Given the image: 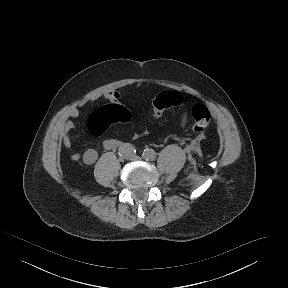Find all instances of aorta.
<instances>
[{"instance_id": "aorta-1", "label": "aorta", "mask_w": 288, "mask_h": 288, "mask_svg": "<svg viewBox=\"0 0 288 288\" xmlns=\"http://www.w3.org/2000/svg\"><path fill=\"white\" fill-rule=\"evenodd\" d=\"M149 154L151 156H149ZM143 157L148 160H152L155 157V152L152 149L146 150L143 152Z\"/></svg>"}]
</instances>
